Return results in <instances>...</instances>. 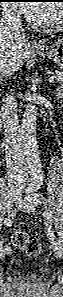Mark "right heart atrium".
<instances>
[{
	"instance_id": "obj_1",
	"label": "right heart atrium",
	"mask_w": 63,
	"mask_h": 297,
	"mask_svg": "<svg viewBox=\"0 0 63 297\" xmlns=\"http://www.w3.org/2000/svg\"><path fill=\"white\" fill-rule=\"evenodd\" d=\"M4 13L9 20L19 21L20 15L15 9L6 7Z\"/></svg>"
}]
</instances>
